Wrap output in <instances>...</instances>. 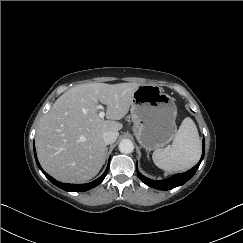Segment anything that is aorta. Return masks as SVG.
Wrapping results in <instances>:
<instances>
[{
  "mask_svg": "<svg viewBox=\"0 0 243 243\" xmlns=\"http://www.w3.org/2000/svg\"><path fill=\"white\" fill-rule=\"evenodd\" d=\"M119 150L124 154L132 153L134 150V145L130 139H123L119 143Z\"/></svg>",
  "mask_w": 243,
  "mask_h": 243,
  "instance_id": "1",
  "label": "aorta"
}]
</instances>
